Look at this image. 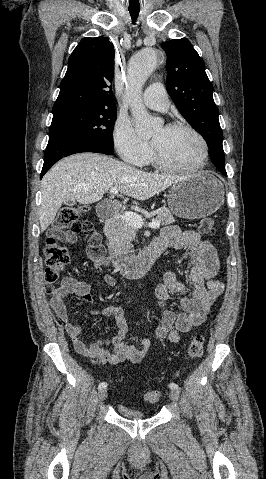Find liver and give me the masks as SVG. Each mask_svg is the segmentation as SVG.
I'll use <instances>...</instances> for the list:
<instances>
[{"mask_svg": "<svg viewBox=\"0 0 266 479\" xmlns=\"http://www.w3.org/2000/svg\"><path fill=\"white\" fill-rule=\"evenodd\" d=\"M185 178L147 173L97 153L71 155L55 164L42 179L41 232L53 222L67 200L92 204L112 187H117L120 193L144 201Z\"/></svg>", "mask_w": 266, "mask_h": 479, "instance_id": "obj_1", "label": "liver"}]
</instances>
